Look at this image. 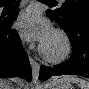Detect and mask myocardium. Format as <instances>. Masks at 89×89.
<instances>
[{"instance_id": "1", "label": "myocardium", "mask_w": 89, "mask_h": 89, "mask_svg": "<svg viewBox=\"0 0 89 89\" xmlns=\"http://www.w3.org/2000/svg\"><path fill=\"white\" fill-rule=\"evenodd\" d=\"M52 34L60 38L62 43L61 50L57 54H52L47 50L45 43H41L39 47L40 53L43 59L49 63L53 64L62 63L71 54L72 45L70 38L64 30L59 28L52 31Z\"/></svg>"}]
</instances>
